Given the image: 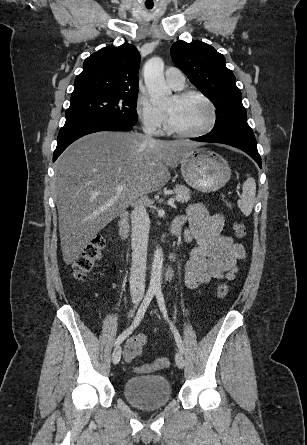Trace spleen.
Here are the masks:
<instances>
[{
	"label": "spleen",
	"instance_id": "obj_1",
	"mask_svg": "<svg viewBox=\"0 0 307 445\" xmlns=\"http://www.w3.org/2000/svg\"><path fill=\"white\" fill-rule=\"evenodd\" d=\"M247 176L248 178H246L242 186V196L238 200V206L245 216L251 214L256 194V182L250 174H247Z\"/></svg>",
	"mask_w": 307,
	"mask_h": 445
}]
</instances>
